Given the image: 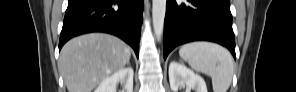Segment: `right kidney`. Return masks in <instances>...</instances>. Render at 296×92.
<instances>
[{
	"mask_svg": "<svg viewBox=\"0 0 296 92\" xmlns=\"http://www.w3.org/2000/svg\"><path fill=\"white\" fill-rule=\"evenodd\" d=\"M133 75L134 71L131 67L115 71L104 79L94 92H116L119 82L123 84V89L120 92H133Z\"/></svg>",
	"mask_w": 296,
	"mask_h": 92,
	"instance_id": "1",
	"label": "right kidney"
}]
</instances>
